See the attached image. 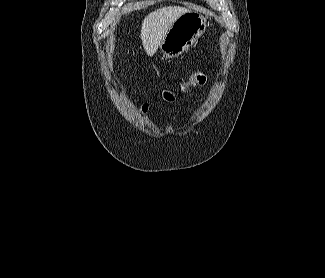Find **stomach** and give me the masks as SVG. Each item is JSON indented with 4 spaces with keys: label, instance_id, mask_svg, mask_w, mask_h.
<instances>
[{
    "label": "stomach",
    "instance_id": "1",
    "mask_svg": "<svg viewBox=\"0 0 325 278\" xmlns=\"http://www.w3.org/2000/svg\"><path fill=\"white\" fill-rule=\"evenodd\" d=\"M206 19L196 12H188L176 19L164 37L160 50L166 58H175L194 45L205 33Z\"/></svg>",
    "mask_w": 325,
    "mask_h": 278
}]
</instances>
